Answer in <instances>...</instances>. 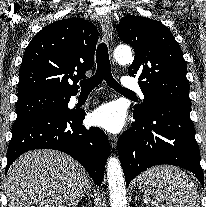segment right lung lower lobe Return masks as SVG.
I'll list each match as a JSON object with an SVG mask.
<instances>
[{"mask_svg":"<svg viewBox=\"0 0 206 207\" xmlns=\"http://www.w3.org/2000/svg\"><path fill=\"white\" fill-rule=\"evenodd\" d=\"M83 110L66 114L42 115L12 127V138L7 152L6 172L24 152L34 149H55L69 154L87 170L100 186L110 146L107 136L99 128H86Z\"/></svg>","mask_w":206,"mask_h":207,"instance_id":"98d812e1","label":"right lung lower lobe"}]
</instances>
